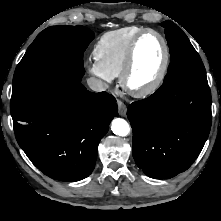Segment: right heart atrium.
<instances>
[{
	"label": "right heart atrium",
	"instance_id": "1",
	"mask_svg": "<svg viewBox=\"0 0 221 221\" xmlns=\"http://www.w3.org/2000/svg\"><path fill=\"white\" fill-rule=\"evenodd\" d=\"M88 69L91 74L100 78L103 81L111 82L113 79V77L104 70V68L97 62V60L89 61Z\"/></svg>",
	"mask_w": 221,
	"mask_h": 221
}]
</instances>
